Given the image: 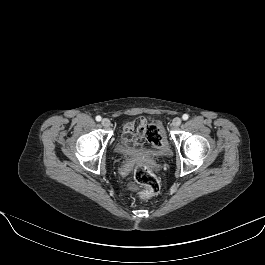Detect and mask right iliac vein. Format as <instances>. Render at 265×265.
Returning <instances> with one entry per match:
<instances>
[{"label": "right iliac vein", "instance_id": "1", "mask_svg": "<svg viewBox=\"0 0 265 265\" xmlns=\"http://www.w3.org/2000/svg\"><path fill=\"white\" fill-rule=\"evenodd\" d=\"M101 123H102V125L104 127H109L110 126V120L108 118L102 119Z\"/></svg>", "mask_w": 265, "mask_h": 265}]
</instances>
